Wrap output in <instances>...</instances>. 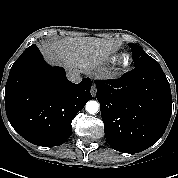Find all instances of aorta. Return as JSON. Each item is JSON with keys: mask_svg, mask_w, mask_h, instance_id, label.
<instances>
[{"mask_svg": "<svg viewBox=\"0 0 178 178\" xmlns=\"http://www.w3.org/2000/svg\"><path fill=\"white\" fill-rule=\"evenodd\" d=\"M99 103L97 101H89L86 104V111L90 114H95L98 112Z\"/></svg>", "mask_w": 178, "mask_h": 178, "instance_id": "762f6f07", "label": "aorta"}]
</instances>
